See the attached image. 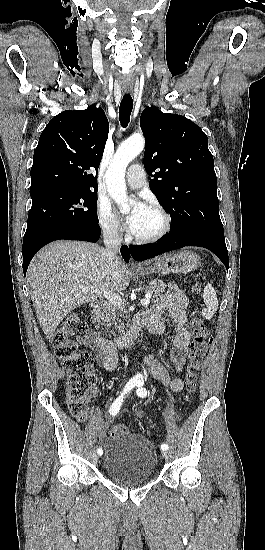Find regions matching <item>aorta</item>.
Returning a JSON list of instances; mask_svg holds the SVG:
<instances>
[{
    "label": "aorta",
    "instance_id": "aorta-1",
    "mask_svg": "<svg viewBox=\"0 0 265 550\" xmlns=\"http://www.w3.org/2000/svg\"><path fill=\"white\" fill-rule=\"evenodd\" d=\"M145 145L142 135H133L118 147L106 172V185L111 198L122 213L129 211L132 201L128 199L125 185V171L128 164L141 153Z\"/></svg>",
    "mask_w": 265,
    "mask_h": 550
}]
</instances>
